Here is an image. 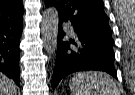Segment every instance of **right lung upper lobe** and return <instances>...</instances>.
<instances>
[{"label":"right lung upper lobe","mask_w":135,"mask_h":95,"mask_svg":"<svg viewBox=\"0 0 135 95\" xmlns=\"http://www.w3.org/2000/svg\"><path fill=\"white\" fill-rule=\"evenodd\" d=\"M23 16L22 0H0V21L16 20Z\"/></svg>","instance_id":"obj_1"}]
</instances>
